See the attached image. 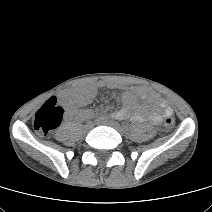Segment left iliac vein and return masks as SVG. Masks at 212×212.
Segmentation results:
<instances>
[{
    "label": "left iliac vein",
    "mask_w": 212,
    "mask_h": 212,
    "mask_svg": "<svg viewBox=\"0 0 212 212\" xmlns=\"http://www.w3.org/2000/svg\"><path fill=\"white\" fill-rule=\"evenodd\" d=\"M100 123L104 124V125H107V126H110V127L114 128V129H116L120 133L124 132V129L115 121H102Z\"/></svg>",
    "instance_id": "4c4485c4"
}]
</instances>
